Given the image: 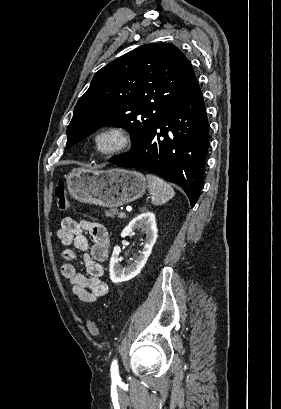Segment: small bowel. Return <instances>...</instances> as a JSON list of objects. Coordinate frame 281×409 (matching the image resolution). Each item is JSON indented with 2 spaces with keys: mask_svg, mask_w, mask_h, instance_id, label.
I'll return each instance as SVG.
<instances>
[{
  "mask_svg": "<svg viewBox=\"0 0 281 409\" xmlns=\"http://www.w3.org/2000/svg\"><path fill=\"white\" fill-rule=\"evenodd\" d=\"M65 248L61 265L62 275L71 283L72 293L81 301L91 303L108 294V285L103 279V262L109 256V236L106 228L88 220H74L71 217L62 219L57 232ZM83 253L85 273H80L71 263L76 258V251Z\"/></svg>",
  "mask_w": 281,
  "mask_h": 409,
  "instance_id": "obj_1",
  "label": "small bowel"
}]
</instances>
